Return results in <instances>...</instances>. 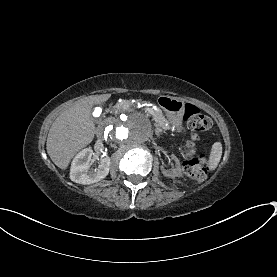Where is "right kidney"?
<instances>
[{
    "mask_svg": "<svg viewBox=\"0 0 277 277\" xmlns=\"http://www.w3.org/2000/svg\"><path fill=\"white\" fill-rule=\"evenodd\" d=\"M93 150L87 148L82 150L74 158L71 165L70 179L82 185H91L105 179L109 174L110 161L109 156H104L95 170H90V162L92 159Z\"/></svg>",
    "mask_w": 277,
    "mask_h": 277,
    "instance_id": "ca27d5eb",
    "label": "right kidney"
}]
</instances>
